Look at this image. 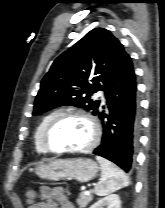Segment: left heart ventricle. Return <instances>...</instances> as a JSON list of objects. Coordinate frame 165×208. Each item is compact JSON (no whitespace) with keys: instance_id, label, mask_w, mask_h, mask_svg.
<instances>
[{"instance_id":"b2bd125f","label":"left heart ventricle","mask_w":165,"mask_h":208,"mask_svg":"<svg viewBox=\"0 0 165 208\" xmlns=\"http://www.w3.org/2000/svg\"><path fill=\"white\" fill-rule=\"evenodd\" d=\"M91 137L92 129L85 119L69 117L53 128L49 142L56 149H77L86 146Z\"/></svg>"}]
</instances>
